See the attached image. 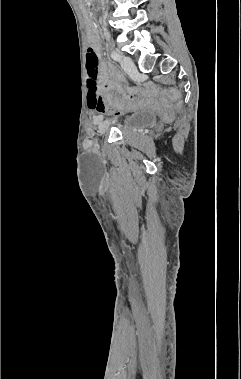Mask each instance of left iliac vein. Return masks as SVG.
<instances>
[{
	"label": "left iliac vein",
	"instance_id": "1",
	"mask_svg": "<svg viewBox=\"0 0 241 379\" xmlns=\"http://www.w3.org/2000/svg\"><path fill=\"white\" fill-rule=\"evenodd\" d=\"M120 64L122 68L130 75L135 76L137 74V68L133 63L132 59L128 56H123L121 58ZM110 125V122H105L102 125L101 131L104 132Z\"/></svg>",
	"mask_w": 241,
	"mask_h": 379
}]
</instances>
